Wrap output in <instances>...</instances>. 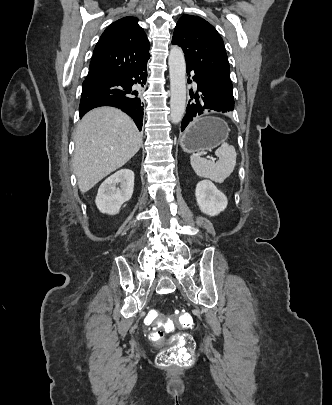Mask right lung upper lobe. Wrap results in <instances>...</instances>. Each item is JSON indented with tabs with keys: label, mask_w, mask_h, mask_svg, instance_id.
Returning a JSON list of instances; mask_svg holds the SVG:
<instances>
[{
	"label": "right lung upper lobe",
	"mask_w": 332,
	"mask_h": 405,
	"mask_svg": "<svg viewBox=\"0 0 332 405\" xmlns=\"http://www.w3.org/2000/svg\"><path fill=\"white\" fill-rule=\"evenodd\" d=\"M149 48L137 18L119 19L105 29L96 44L87 77L135 68L148 61Z\"/></svg>",
	"instance_id": "right-lung-upper-lobe-1"
}]
</instances>
